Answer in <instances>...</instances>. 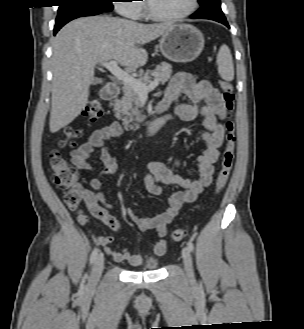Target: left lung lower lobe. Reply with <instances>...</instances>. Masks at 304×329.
I'll use <instances>...</instances> for the list:
<instances>
[{"instance_id":"0a47b994","label":"left lung lower lobe","mask_w":304,"mask_h":329,"mask_svg":"<svg viewBox=\"0 0 304 329\" xmlns=\"http://www.w3.org/2000/svg\"><path fill=\"white\" fill-rule=\"evenodd\" d=\"M200 5L201 8L191 16L192 19L214 20L230 28L220 7V0H205Z\"/></svg>"}]
</instances>
